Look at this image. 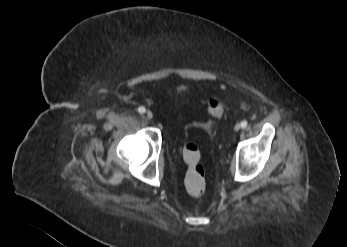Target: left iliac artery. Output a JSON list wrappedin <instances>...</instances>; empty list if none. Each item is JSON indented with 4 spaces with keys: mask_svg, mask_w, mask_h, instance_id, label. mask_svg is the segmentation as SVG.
I'll return each instance as SVG.
<instances>
[{
    "mask_svg": "<svg viewBox=\"0 0 347 247\" xmlns=\"http://www.w3.org/2000/svg\"><path fill=\"white\" fill-rule=\"evenodd\" d=\"M247 125H248V123H247L246 120H244V121L241 122V127H242V128H246Z\"/></svg>",
    "mask_w": 347,
    "mask_h": 247,
    "instance_id": "44dca946",
    "label": "left iliac artery"
}]
</instances>
